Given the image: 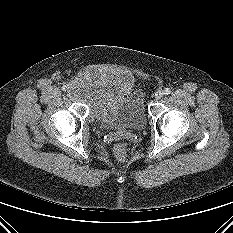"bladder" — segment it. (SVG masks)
Here are the masks:
<instances>
[{
	"label": "bladder",
	"instance_id": "bladder-1",
	"mask_svg": "<svg viewBox=\"0 0 233 233\" xmlns=\"http://www.w3.org/2000/svg\"><path fill=\"white\" fill-rule=\"evenodd\" d=\"M89 105V118L107 130H138L146 124L142 91L124 71L92 67L72 83Z\"/></svg>",
	"mask_w": 233,
	"mask_h": 233
}]
</instances>
